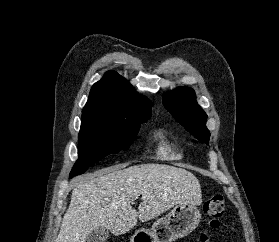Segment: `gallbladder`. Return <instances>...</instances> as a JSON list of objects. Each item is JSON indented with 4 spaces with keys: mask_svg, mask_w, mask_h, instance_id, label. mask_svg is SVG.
<instances>
[{
    "mask_svg": "<svg viewBox=\"0 0 279 242\" xmlns=\"http://www.w3.org/2000/svg\"><path fill=\"white\" fill-rule=\"evenodd\" d=\"M108 237L109 231L103 227H99L88 235L86 242H105Z\"/></svg>",
    "mask_w": 279,
    "mask_h": 242,
    "instance_id": "gallbladder-1",
    "label": "gallbladder"
}]
</instances>
